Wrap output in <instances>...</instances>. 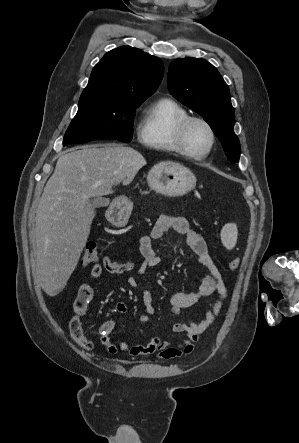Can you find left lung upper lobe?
<instances>
[{
    "label": "left lung upper lobe",
    "mask_w": 299,
    "mask_h": 443,
    "mask_svg": "<svg viewBox=\"0 0 299 443\" xmlns=\"http://www.w3.org/2000/svg\"><path fill=\"white\" fill-rule=\"evenodd\" d=\"M167 83L173 97L210 125L228 159L239 162L241 148L233 129L234 108L218 70L203 59L179 58L169 66Z\"/></svg>",
    "instance_id": "5c2ea615"
}]
</instances>
